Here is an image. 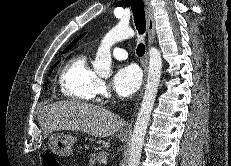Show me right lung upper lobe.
I'll use <instances>...</instances> for the list:
<instances>
[{"instance_id": "obj_1", "label": "right lung upper lobe", "mask_w": 231, "mask_h": 166, "mask_svg": "<svg viewBox=\"0 0 231 166\" xmlns=\"http://www.w3.org/2000/svg\"><path fill=\"white\" fill-rule=\"evenodd\" d=\"M85 34H86V33L80 35V36L77 37L75 40H73L63 52H68V51L77 43L78 40H80L81 38H83V36H84Z\"/></svg>"}]
</instances>
